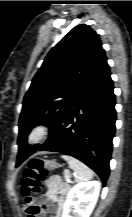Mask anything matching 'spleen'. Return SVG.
<instances>
[{
	"label": "spleen",
	"mask_w": 132,
	"mask_h": 217,
	"mask_svg": "<svg viewBox=\"0 0 132 217\" xmlns=\"http://www.w3.org/2000/svg\"><path fill=\"white\" fill-rule=\"evenodd\" d=\"M62 158L67 161L70 168L74 170L78 182L88 181L93 178V171L83 162L68 155H62Z\"/></svg>",
	"instance_id": "3e777b00"
}]
</instances>
